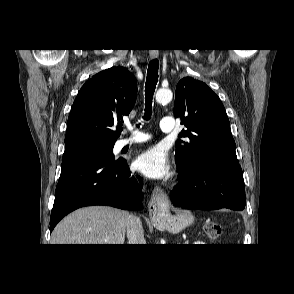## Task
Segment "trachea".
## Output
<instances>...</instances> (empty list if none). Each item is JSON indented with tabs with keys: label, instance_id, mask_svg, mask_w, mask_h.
I'll return each instance as SVG.
<instances>
[{
	"label": "trachea",
	"instance_id": "trachea-1",
	"mask_svg": "<svg viewBox=\"0 0 294 294\" xmlns=\"http://www.w3.org/2000/svg\"><path fill=\"white\" fill-rule=\"evenodd\" d=\"M158 69L159 62L157 59L152 60L149 63L147 77H146V86H145V115L144 119L148 120L152 114V99L153 94L158 82Z\"/></svg>",
	"mask_w": 294,
	"mask_h": 294
}]
</instances>
